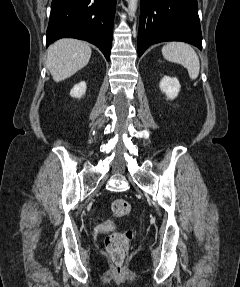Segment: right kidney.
<instances>
[{
  "mask_svg": "<svg viewBox=\"0 0 240 287\" xmlns=\"http://www.w3.org/2000/svg\"><path fill=\"white\" fill-rule=\"evenodd\" d=\"M86 83L81 81L74 85V87L70 91V95L75 98H81L86 92Z\"/></svg>",
  "mask_w": 240,
  "mask_h": 287,
  "instance_id": "obj_1",
  "label": "right kidney"
}]
</instances>
